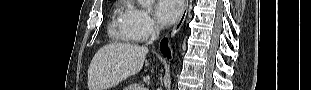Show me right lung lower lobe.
<instances>
[{
  "label": "right lung lower lobe",
  "mask_w": 311,
  "mask_h": 90,
  "mask_svg": "<svg viewBox=\"0 0 311 90\" xmlns=\"http://www.w3.org/2000/svg\"><path fill=\"white\" fill-rule=\"evenodd\" d=\"M160 50L161 52L167 56L168 58H170V52L169 49L167 48V39H163L160 43Z\"/></svg>",
  "instance_id": "obj_1"
}]
</instances>
